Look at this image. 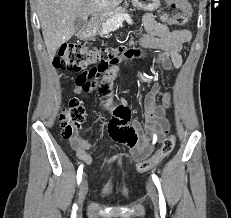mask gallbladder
<instances>
[{
    "label": "gallbladder",
    "mask_w": 231,
    "mask_h": 218,
    "mask_svg": "<svg viewBox=\"0 0 231 218\" xmlns=\"http://www.w3.org/2000/svg\"><path fill=\"white\" fill-rule=\"evenodd\" d=\"M85 25H86V20H84L81 17H77L74 20L75 33L77 34L80 30H82L84 28Z\"/></svg>",
    "instance_id": "bac80fb5"
}]
</instances>
